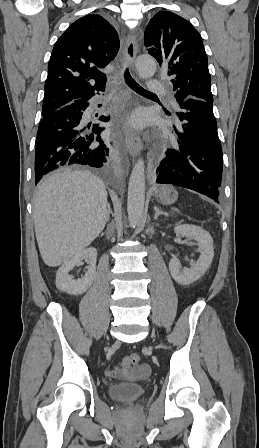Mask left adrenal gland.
I'll use <instances>...</instances> for the list:
<instances>
[{"label": "left adrenal gland", "mask_w": 259, "mask_h": 448, "mask_svg": "<svg viewBox=\"0 0 259 448\" xmlns=\"http://www.w3.org/2000/svg\"><path fill=\"white\" fill-rule=\"evenodd\" d=\"M155 210V216H154V220H157L158 216H160V214H163V216H169V214H167V212H162V210H159V208H154Z\"/></svg>", "instance_id": "1"}]
</instances>
